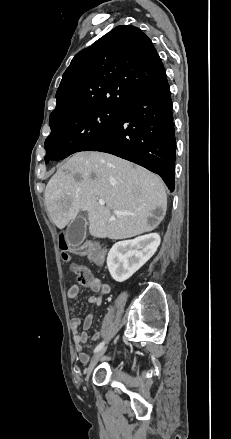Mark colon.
<instances>
[{
  "label": "colon",
  "instance_id": "obj_1",
  "mask_svg": "<svg viewBox=\"0 0 231 439\" xmlns=\"http://www.w3.org/2000/svg\"><path fill=\"white\" fill-rule=\"evenodd\" d=\"M76 246H79V252L86 255L92 262L96 264L102 263L104 259V251L98 247L97 241L92 240L90 243L81 241L80 243H76ZM59 247L62 253V258L65 261H70L68 253L69 245L64 234H60L59 236ZM71 269L76 274L78 281L82 285H86L91 280V272L85 266L72 263Z\"/></svg>",
  "mask_w": 231,
  "mask_h": 439
}]
</instances>
